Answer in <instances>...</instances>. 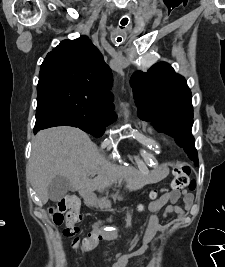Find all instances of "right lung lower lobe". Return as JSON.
<instances>
[{"label": "right lung lower lobe", "instance_id": "obj_1", "mask_svg": "<svg viewBox=\"0 0 225 267\" xmlns=\"http://www.w3.org/2000/svg\"><path fill=\"white\" fill-rule=\"evenodd\" d=\"M54 126H73L77 124L61 109L46 98H37L36 123L34 134Z\"/></svg>", "mask_w": 225, "mask_h": 267}]
</instances>
